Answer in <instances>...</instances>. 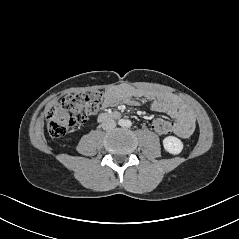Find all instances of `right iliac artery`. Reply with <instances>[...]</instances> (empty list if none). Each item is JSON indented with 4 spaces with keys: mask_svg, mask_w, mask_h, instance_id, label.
<instances>
[{
    "mask_svg": "<svg viewBox=\"0 0 239 239\" xmlns=\"http://www.w3.org/2000/svg\"><path fill=\"white\" fill-rule=\"evenodd\" d=\"M124 122L122 120L119 121V124H123Z\"/></svg>",
    "mask_w": 239,
    "mask_h": 239,
    "instance_id": "obj_1",
    "label": "right iliac artery"
}]
</instances>
